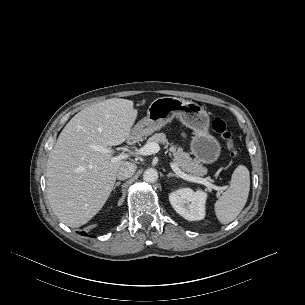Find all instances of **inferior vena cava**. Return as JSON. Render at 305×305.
Segmentation results:
<instances>
[{
    "label": "inferior vena cava",
    "mask_w": 305,
    "mask_h": 305,
    "mask_svg": "<svg viewBox=\"0 0 305 305\" xmlns=\"http://www.w3.org/2000/svg\"><path fill=\"white\" fill-rule=\"evenodd\" d=\"M136 165L131 162H124L117 170V178L119 180H125L131 177L136 171Z\"/></svg>",
    "instance_id": "inferior-vena-cava-1"
}]
</instances>
